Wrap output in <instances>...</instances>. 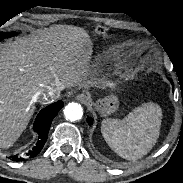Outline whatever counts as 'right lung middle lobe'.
<instances>
[{
  "mask_svg": "<svg viewBox=\"0 0 183 183\" xmlns=\"http://www.w3.org/2000/svg\"><path fill=\"white\" fill-rule=\"evenodd\" d=\"M15 34V32H2L0 33V40H2L3 38L12 37Z\"/></svg>",
  "mask_w": 183,
  "mask_h": 183,
  "instance_id": "dd1d6c3e",
  "label": "right lung middle lobe"
}]
</instances>
